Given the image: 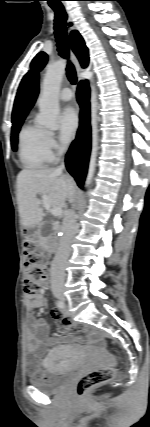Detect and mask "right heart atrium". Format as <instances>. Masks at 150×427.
<instances>
[{
	"label": "right heart atrium",
	"mask_w": 150,
	"mask_h": 427,
	"mask_svg": "<svg viewBox=\"0 0 150 427\" xmlns=\"http://www.w3.org/2000/svg\"><path fill=\"white\" fill-rule=\"evenodd\" d=\"M46 147H47V150H48L51 158H53L54 155L60 149V146H59L54 134L51 132H47V134H46Z\"/></svg>",
	"instance_id": "d8ad5b80"
}]
</instances>
